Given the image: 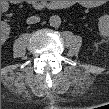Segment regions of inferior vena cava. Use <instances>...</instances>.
Instances as JSON below:
<instances>
[{
	"label": "inferior vena cava",
	"instance_id": "inferior-vena-cava-1",
	"mask_svg": "<svg viewBox=\"0 0 109 109\" xmlns=\"http://www.w3.org/2000/svg\"><path fill=\"white\" fill-rule=\"evenodd\" d=\"M40 21V17L38 16H31L27 19V24H35L38 23Z\"/></svg>",
	"mask_w": 109,
	"mask_h": 109
}]
</instances>
